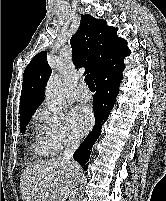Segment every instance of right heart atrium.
<instances>
[{"label": "right heart atrium", "instance_id": "1", "mask_svg": "<svg viewBox=\"0 0 166 201\" xmlns=\"http://www.w3.org/2000/svg\"><path fill=\"white\" fill-rule=\"evenodd\" d=\"M36 116L41 123L42 139L52 154H59L64 149L78 145L79 140L73 134L64 113L41 107Z\"/></svg>", "mask_w": 166, "mask_h": 201}]
</instances>
